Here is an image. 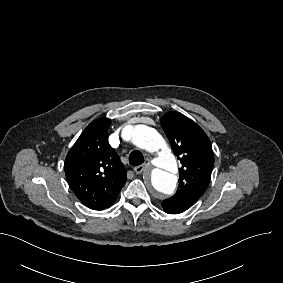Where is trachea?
I'll return each mask as SVG.
<instances>
[{
    "instance_id": "obj_1",
    "label": "trachea",
    "mask_w": 283,
    "mask_h": 283,
    "mask_svg": "<svg viewBox=\"0 0 283 283\" xmlns=\"http://www.w3.org/2000/svg\"><path fill=\"white\" fill-rule=\"evenodd\" d=\"M144 163V156L139 150H133L129 154V164L132 166H138Z\"/></svg>"
}]
</instances>
